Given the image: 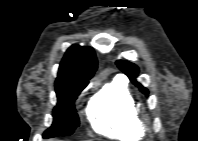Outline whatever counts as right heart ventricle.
I'll use <instances>...</instances> for the list:
<instances>
[{"label":"right heart ventricle","instance_id":"obj_1","mask_svg":"<svg viewBox=\"0 0 198 141\" xmlns=\"http://www.w3.org/2000/svg\"><path fill=\"white\" fill-rule=\"evenodd\" d=\"M137 107L126 83L116 78L105 84L92 97L87 109V119L95 132L112 139L137 140L139 131Z\"/></svg>","mask_w":198,"mask_h":141}]
</instances>
